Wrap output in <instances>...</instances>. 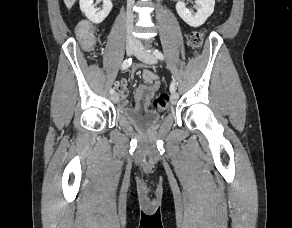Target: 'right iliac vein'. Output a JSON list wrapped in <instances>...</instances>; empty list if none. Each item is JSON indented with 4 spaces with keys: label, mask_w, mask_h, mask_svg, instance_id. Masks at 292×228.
I'll use <instances>...</instances> for the list:
<instances>
[{
    "label": "right iliac vein",
    "mask_w": 292,
    "mask_h": 228,
    "mask_svg": "<svg viewBox=\"0 0 292 228\" xmlns=\"http://www.w3.org/2000/svg\"><path fill=\"white\" fill-rule=\"evenodd\" d=\"M136 44L135 42L133 41H128L126 43V53L128 56L132 55L135 51H136ZM118 94L117 93H114L112 96H111V99L113 102H117L118 101Z\"/></svg>",
    "instance_id": "63e3f726"
}]
</instances>
